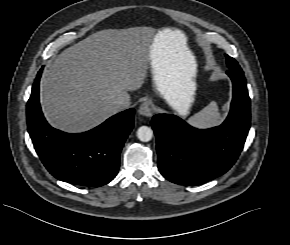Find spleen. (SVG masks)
Masks as SVG:
<instances>
[{"instance_id": "spleen-1", "label": "spleen", "mask_w": 290, "mask_h": 245, "mask_svg": "<svg viewBox=\"0 0 290 245\" xmlns=\"http://www.w3.org/2000/svg\"><path fill=\"white\" fill-rule=\"evenodd\" d=\"M189 122L197 128L214 127L222 122V115L219 112L218 105L215 101L210 102L200 112L193 115Z\"/></svg>"}]
</instances>
